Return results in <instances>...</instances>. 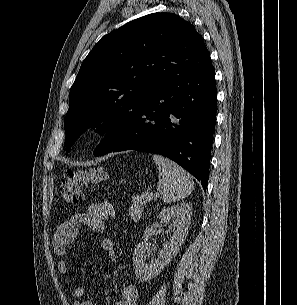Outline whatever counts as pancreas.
<instances>
[{"mask_svg": "<svg viewBox=\"0 0 297 305\" xmlns=\"http://www.w3.org/2000/svg\"><path fill=\"white\" fill-rule=\"evenodd\" d=\"M143 197L134 196L132 198V205L129 210V215L131 218L135 221H138L141 217L142 211H143Z\"/></svg>", "mask_w": 297, "mask_h": 305, "instance_id": "pancreas-1", "label": "pancreas"}]
</instances>
